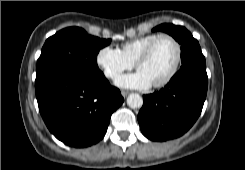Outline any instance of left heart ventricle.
Returning <instances> with one entry per match:
<instances>
[{"label":"left heart ventricle","mask_w":245,"mask_h":170,"mask_svg":"<svg viewBox=\"0 0 245 170\" xmlns=\"http://www.w3.org/2000/svg\"><path fill=\"white\" fill-rule=\"evenodd\" d=\"M176 58V49L169 39L159 40L150 56L140 63L141 71L151 83L161 81L172 69Z\"/></svg>","instance_id":"left-heart-ventricle-1"}]
</instances>
